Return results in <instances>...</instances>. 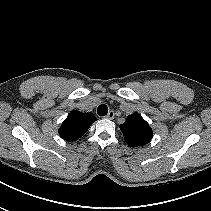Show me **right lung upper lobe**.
Instances as JSON below:
<instances>
[{
  "instance_id": "1",
  "label": "right lung upper lobe",
  "mask_w": 211,
  "mask_h": 211,
  "mask_svg": "<svg viewBox=\"0 0 211 211\" xmlns=\"http://www.w3.org/2000/svg\"><path fill=\"white\" fill-rule=\"evenodd\" d=\"M96 120L92 113L72 110L59 128V134L66 141H75L82 137Z\"/></svg>"
}]
</instances>
